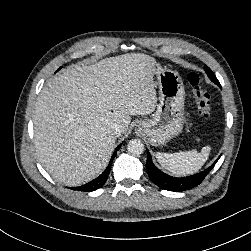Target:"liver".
<instances>
[{
	"label": "liver",
	"mask_w": 251,
	"mask_h": 251,
	"mask_svg": "<svg viewBox=\"0 0 251 251\" xmlns=\"http://www.w3.org/2000/svg\"><path fill=\"white\" fill-rule=\"evenodd\" d=\"M143 53L72 65L41 90L35 107L34 141L42 166L57 181L78 186L108 163L116 137L130 115H149L157 105L151 65Z\"/></svg>",
	"instance_id": "1"
}]
</instances>
